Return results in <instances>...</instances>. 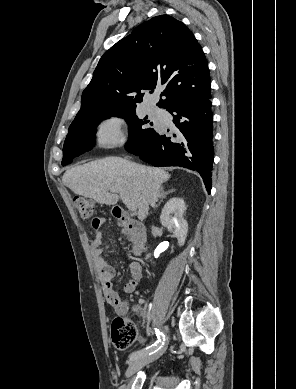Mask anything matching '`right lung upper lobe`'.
I'll use <instances>...</instances> for the list:
<instances>
[{
    "label": "right lung upper lobe",
    "instance_id": "right-lung-upper-lobe-1",
    "mask_svg": "<svg viewBox=\"0 0 296 389\" xmlns=\"http://www.w3.org/2000/svg\"><path fill=\"white\" fill-rule=\"evenodd\" d=\"M210 83L207 60L193 33L171 16H156L104 53L75 118L93 109L136 107L141 91L157 84L166 85L157 105L169 110L209 92Z\"/></svg>",
    "mask_w": 296,
    "mask_h": 389
}]
</instances>
